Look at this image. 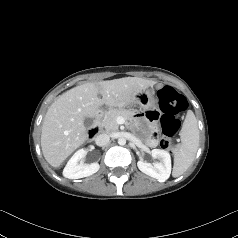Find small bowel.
Returning <instances> with one entry per match:
<instances>
[{
	"label": "small bowel",
	"mask_w": 238,
	"mask_h": 238,
	"mask_svg": "<svg viewBox=\"0 0 238 238\" xmlns=\"http://www.w3.org/2000/svg\"><path fill=\"white\" fill-rule=\"evenodd\" d=\"M145 118L149 123L156 124L161 120L162 113L158 108L151 107L146 111ZM146 141L150 147H155L157 145L158 140H157V131L155 127H153L152 131L148 134Z\"/></svg>",
	"instance_id": "1"
}]
</instances>
